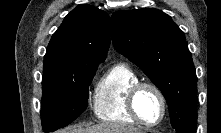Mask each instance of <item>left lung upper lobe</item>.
I'll list each match as a JSON object with an SVG mask.
<instances>
[{
  "label": "left lung upper lobe",
  "instance_id": "5c2ea615",
  "mask_svg": "<svg viewBox=\"0 0 221 133\" xmlns=\"http://www.w3.org/2000/svg\"><path fill=\"white\" fill-rule=\"evenodd\" d=\"M112 41L161 90L176 132L197 124V77L184 33L154 8L118 11L111 17Z\"/></svg>",
  "mask_w": 221,
  "mask_h": 133
}]
</instances>
